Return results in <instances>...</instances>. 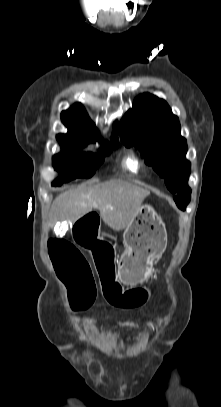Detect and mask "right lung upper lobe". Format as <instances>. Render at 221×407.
I'll use <instances>...</instances> for the list:
<instances>
[{
	"label": "right lung upper lobe",
	"instance_id": "cb5924a9",
	"mask_svg": "<svg viewBox=\"0 0 221 407\" xmlns=\"http://www.w3.org/2000/svg\"><path fill=\"white\" fill-rule=\"evenodd\" d=\"M61 120L68 128V133L57 135L58 141L88 144L98 139L97 128L81 104H75L67 111H63L61 113ZM113 135L114 137L109 143H115L118 139L117 122L114 123Z\"/></svg>",
	"mask_w": 221,
	"mask_h": 407
}]
</instances>
